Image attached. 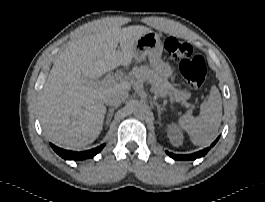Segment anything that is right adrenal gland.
Here are the masks:
<instances>
[{
	"mask_svg": "<svg viewBox=\"0 0 265 202\" xmlns=\"http://www.w3.org/2000/svg\"><path fill=\"white\" fill-rule=\"evenodd\" d=\"M117 107H112L106 112V124H109Z\"/></svg>",
	"mask_w": 265,
	"mask_h": 202,
	"instance_id": "right-adrenal-gland-1",
	"label": "right adrenal gland"
}]
</instances>
